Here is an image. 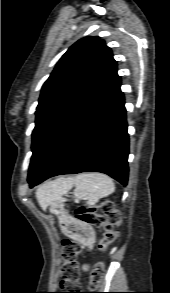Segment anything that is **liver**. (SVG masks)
Returning a JSON list of instances; mask_svg holds the SVG:
<instances>
[{
  "label": "liver",
  "instance_id": "1",
  "mask_svg": "<svg viewBox=\"0 0 170 293\" xmlns=\"http://www.w3.org/2000/svg\"><path fill=\"white\" fill-rule=\"evenodd\" d=\"M72 180L71 178L59 179L56 181V186L50 183L38 189L36 197L40 206L44 209L48 206L51 199L61 194V190L63 192L68 190L72 186Z\"/></svg>",
  "mask_w": 170,
  "mask_h": 293
}]
</instances>
